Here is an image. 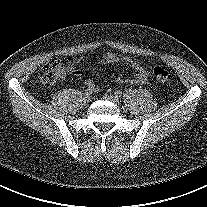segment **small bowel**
<instances>
[{
  "instance_id": "obj_1",
  "label": "small bowel",
  "mask_w": 207,
  "mask_h": 207,
  "mask_svg": "<svg viewBox=\"0 0 207 207\" xmlns=\"http://www.w3.org/2000/svg\"><path fill=\"white\" fill-rule=\"evenodd\" d=\"M83 59H85V58L77 59V60H75V62H79ZM102 62L105 64H111V63H115V62H124L135 71V75L130 79H123V78L119 77L117 79V82H119V83L128 82V83H132V84H143L148 79V72H147L146 68L144 67V65L140 61L133 59L131 57L120 56L115 53L108 52L105 54ZM70 72L74 76L81 75V72L78 69H74L71 66H70ZM64 78H65V72H63L60 75L59 79L63 80ZM85 84L87 85V88H91L92 91H94V92L98 90L96 84L91 79H87L85 81Z\"/></svg>"
}]
</instances>
